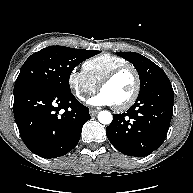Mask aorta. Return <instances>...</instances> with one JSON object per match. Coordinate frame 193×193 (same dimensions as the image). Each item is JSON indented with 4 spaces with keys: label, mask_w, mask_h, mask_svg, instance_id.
<instances>
[{
    "label": "aorta",
    "mask_w": 193,
    "mask_h": 193,
    "mask_svg": "<svg viewBox=\"0 0 193 193\" xmlns=\"http://www.w3.org/2000/svg\"><path fill=\"white\" fill-rule=\"evenodd\" d=\"M113 120V116L109 111H101L98 114V121L101 124L107 125L110 124Z\"/></svg>",
    "instance_id": "1"
}]
</instances>
